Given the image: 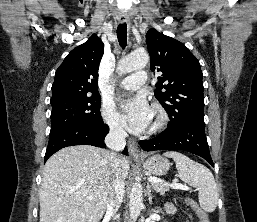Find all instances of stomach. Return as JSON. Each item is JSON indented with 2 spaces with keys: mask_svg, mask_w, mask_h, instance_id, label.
I'll return each instance as SVG.
<instances>
[{
  "mask_svg": "<svg viewBox=\"0 0 257 222\" xmlns=\"http://www.w3.org/2000/svg\"><path fill=\"white\" fill-rule=\"evenodd\" d=\"M140 162L144 169L156 176L165 175L170 169L169 161L161 155H153L152 157H149L146 160H141Z\"/></svg>",
  "mask_w": 257,
  "mask_h": 222,
  "instance_id": "obj_1",
  "label": "stomach"
}]
</instances>
